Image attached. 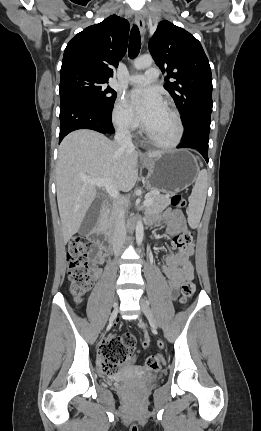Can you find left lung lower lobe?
<instances>
[{"mask_svg":"<svg viewBox=\"0 0 261 431\" xmlns=\"http://www.w3.org/2000/svg\"><path fill=\"white\" fill-rule=\"evenodd\" d=\"M209 132L210 115H198L188 125L184 126V135L177 148L196 149L208 162Z\"/></svg>","mask_w":261,"mask_h":431,"instance_id":"0a47b994","label":"left lung lower lobe"}]
</instances>
